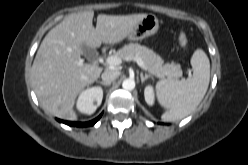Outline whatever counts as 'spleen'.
I'll list each match as a JSON object with an SVG mask.
<instances>
[{
    "label": "spleen",
    "mask_w": 248,
    "mask_h": 165,
    "mask_svg": "<svg viewBox=\"0 0 248 165\" xmlns=\"http://www.w3.org/2000/svg\"><path fill=\"white\" fill-rule=\"evenodd\" d=\"M193 76L183 80H161L156 84L159 104L167 109L161 119L180 120L191 114L204 98L210 81V62L202 49L191 57Z\"/></svg>",
    "instance_id": "spleen-1"
}]
</instances>
